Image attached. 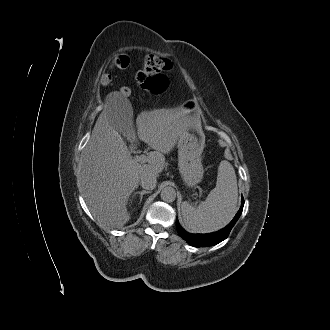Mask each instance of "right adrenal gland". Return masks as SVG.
Returning a JSON list of instances; mask_svg holds the SVG:
<instances>
[{
	"label": "right adrenal gland",
	"mask_w": 330,
	"mask_h": 330,
	"mask_svg": "<svg viewBox=\"0 0 330 330\" xmlns=\"http://www.w3.org/2000/svg\"><path fill=\"white\" fill-rule=\"evenodd\" d=\"M147 193H150V191L142 190V191H136V192L134 193V195H136V194H140V201H139V204H140L141 201H142L143 195H144V194H147Z\"/></svg>",
	"instance_id": "obj_1"
}]
</instances>
